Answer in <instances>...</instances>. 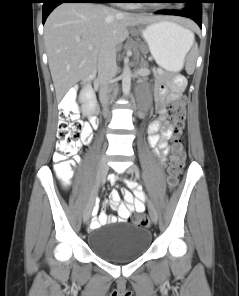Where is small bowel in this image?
<instances>
[{"instance_id":"obj_1","label":"small bowel","mask_w":239,"mask_h":296,"mask_svg":"<svg viewBox=\"0 0 239 296\" xmlns=\"http://www.w3.org/2000/svg\"><path fill=\"white\" fill-rule=\"evenodd\" d=\"M184 86L185 80L176 78L172 86L161 85L156 90L155 109L158 116L149 123L147 133L148 144L155 149V153L162 162H164L169 152L168 141L173 134V127L167 118L166 104L179 100ZM92 134L93 126L90 123H84L81 130L82 143H90ZM110 180L115 182L117 176L112 175ZM121 194L126 204L121 203L120 193L117 190L111 192L110 208L117 212L118 217L107 216L105 213H95L93 214L95 218L91 223V229L115 222H127L133 212H143L145 210L143 202L147 201V194L143 193L141 187L135 182L128 181L127 188H123ZM96 210L98 211L97 207Z\"/></svg>"}]
</instances>
